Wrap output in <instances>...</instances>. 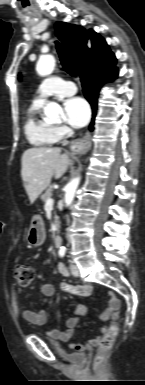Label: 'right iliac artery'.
I'll use <instances>...</instances> for the list:
<instances>
[{
	"label": "right iliac artery",
	"mask_w": 145,
	"mask_h": 385,
	"mask_svg": "<svg viewBox=\"0 0 145 385\" xmlns=\"http://www.w3.org/2000/svg\"><path fill=\"white\" fill-rule=\"evenodd\" d=\"M65 253H66L65 250H60V251H59V256H60V257H64V256H65Z\"/></svg>",
	"instance_id": "obj_1"
}]
</instances>
